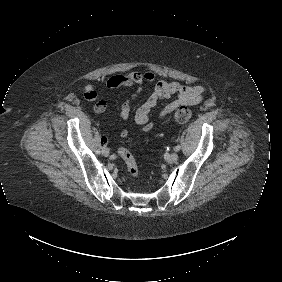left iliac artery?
I'll use <instances>...</instances> for the list:
<instances>
[{
	"mask_svg": "<svg viewBox=\"0 0 282 282\" xmlns=\"http://www.w3.org/2000/svg\"><path fill=\"white\" fill-rule=\"evenodd\" d=\"M181 149L180 145L175 146L174 151H179Z\"/></svg>",
	"mask_w": 282,
	"mask_h": 282,
	"instance_id": "1",
	"label": "left iliac artery"
}]
</instances>
